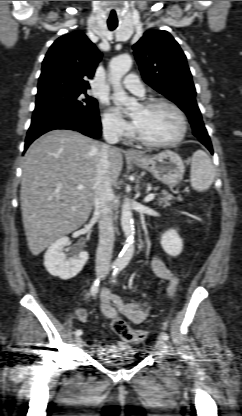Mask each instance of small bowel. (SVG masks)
<instances>
[{"label": "small bowel", "mask_w": 242, "mask_h": 416, "mask_svg": "<svg viewBox=\"0 0 242 416\" xmlns=\"http://www.w3.org/2000/svg\"><path fill=\"white\" fill-rule=\"evenodd\" d=\"M168 261H170V258ZM151 268L157 277L168 282L166 296L168 298L173 297L178 286V277L168 266V263L159 256H154L151 260ZM100 307L102 313L108 319L124 317L134 324L142 323L148 315V310L142 307L140 303L124 301L119 296L113 294L108 288H103L100 292ZM76 318L82 323L87 322L88 314L86 309H77ZM123 346V342H118L113 345H96V351L99 354L106 355L123 348Z\"/></svg>", "instance_id": "c3829d8e"}]
</instances>
